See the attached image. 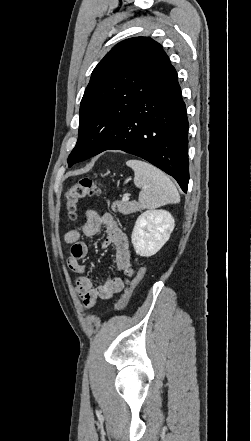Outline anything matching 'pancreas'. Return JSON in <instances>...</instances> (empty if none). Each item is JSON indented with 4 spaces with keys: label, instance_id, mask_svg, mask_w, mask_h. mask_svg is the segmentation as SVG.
<instances>
[{
    "label": "pancreas",
    "instance_id": "cf45deb5",
    "mask_svg": "<svg viewBox=\"0 0 251 441\" xmlns=\"http://www.w3.org/2000/svg\"><path fill=\"white\" fill-rule=\"evenodd\" d=\"M111 209L116 212V210L124 215L135 213L137 211L142 210V206L137 202H126L124 200L122 201H115L113 202Z\"/></svg>",
    "mask_w": 251,
    "mask_h": 441
}]
</instances>
